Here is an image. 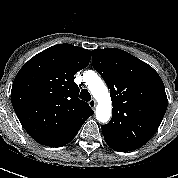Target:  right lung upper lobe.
Listing matches in <instances>:
<instances>
[{"mask_svg": "<svg viewBox=\"0 0 178 178\" xmlns=\"http://www.w3.org/2000/svg\"><path fill=\"white\" fill-rule=\"evenodd\" d=\"M90 50L57 44L35 55L17 73L11 90L14 111L38 143L60 147L69 143L94 114L78 98L74 75L88 66Z\"/></svg>", "mask_w": 178, "mask_h": 178, "instance_id": "1", "label": "right lung upper lobe"}]
</instances>
